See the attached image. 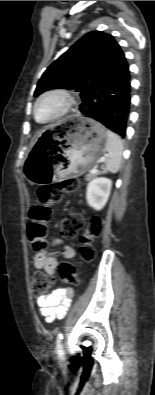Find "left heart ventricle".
Here are the masks:
<instances>
[{"instance_id": "left-heart-ventricle-1", "label": "left heart ventricle", "mask_w": 155, "mask_h": 395, "mask_svg": "<svg viewBox=\"0 0 155 395\" xmlns=\"http://www.w3.org/2000/svg\"><path fill=\"white\" fill-rule=\"evenodd\" d=\"M57 107L56 102L54 101H46L42 103L38 109V117L40 119H45L49 115H51Z\"/></svg>"}]
</instances>
